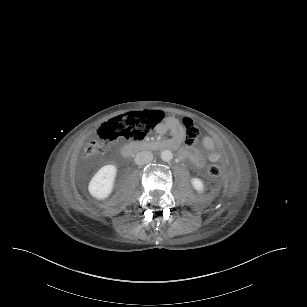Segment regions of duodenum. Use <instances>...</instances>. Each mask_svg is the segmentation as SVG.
Masks as SVG:
<instances>
[{
  "mask_svg": "<svg viewBox=\"0 0 307 307\" xmlns=\"http://www.w3.org/2000/svg\"><path fill=\"white\" fill-rule=\"evenodd\" d=\"M172 142L169 140H152V141H140V142H130L123 146L122 152L123 154H130L134 152H139L143 150H150V149H167L171 150L174 149L172 147Z\"/></svg>",
  "mask_w": 307,
  "mask_h": 307,
  "instance_id": "obj_1",
  "label": "duodenum"
}]
</instances>
